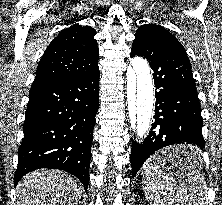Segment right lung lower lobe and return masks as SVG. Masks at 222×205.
<instances>
[{"instance_id": "98d812e1", "label": "right lung lower lobe", "mask_w": 222, "mask_h": 205, "mask_svg": "<svg viewBox=\"0 0 222 205\" xmlns=\"http://www.w3.org/2000/svg\"><path fill=\"white\" fill-rule=\"evenodd\" d=\"M99 73L97 67L79 77L32 85L15 185L33 170L53 168L75 175L87 191Z\"/></svg>"}]
</instances>
